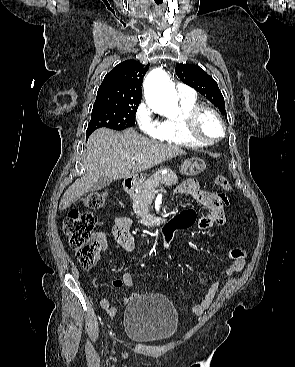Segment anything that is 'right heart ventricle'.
<instances>
[{"instance_id":"obj_1","label":"right heart ventricle","mask_w":295,"mask_h":367,"mask_svg":"<svg viewBox=\"0 0 295 367\" xmlns=\"http://www.w3.org/2000/svg\"><path fill=\"white\" fill-rule=\"evenodd\" d=\"M197 100L194 99H180V113L175 118H167L163 121V132L159 140L168 144L187 148H198L203 145L193 140L187 133L184 118L186 114L195 106Z\"/></svg>"}]
</instances>
